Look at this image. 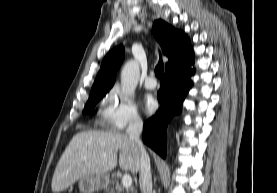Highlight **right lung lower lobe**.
Masks as SVG:
<instances>
[{"label":"right lung lower lobe","mask_w":277,"mask_h":193,"mask_svg":"<svg viewBox=\"0 0 277 193\" xmlns=\"http://www.w3.org/2000/svg\"><path fill=\"white\" fill-rule=\"evenodd\" d=\"M193 50L181 60L166 68L165 76L161 80L157 97L160 108L143 128V142L156 151L161 157H166V127L172 116L180 112L183 100L192 87L191 76L194 69Z\"/></svg>","instance_id":"98d812e1"}]
</instances>
